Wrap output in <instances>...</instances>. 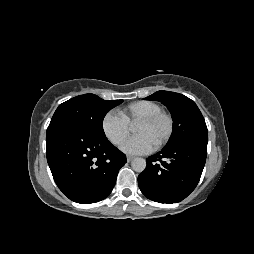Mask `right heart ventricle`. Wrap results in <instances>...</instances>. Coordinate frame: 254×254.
I'll use <instances>...</instances> for the list:
<instances>
[{
	"mask_svg": "<svg viewBox=\"0 0 254 254\" xmlns=\"http://www.w3.org/2000/svg\"><path fill=\"white\" fill-rule=\"evenodd\" d=\"M159 111H162V107L158 103L149 100H140L126 105L118 113L129 125H132L140 119Z\"/></svg>",
	"mask_w": 254,
	"mask_h": 254,
	"instance_id": "right-heart-ventricle-1",
	"label": "right heart ventricle"
}]
</instances>
